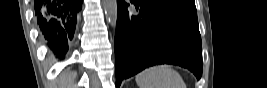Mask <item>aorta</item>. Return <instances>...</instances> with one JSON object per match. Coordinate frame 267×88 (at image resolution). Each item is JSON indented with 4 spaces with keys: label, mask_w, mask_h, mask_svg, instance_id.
<instances>
[{
    "label": "aorta",
    "mask_w": 267,
    "mask_h": 88,
    "mask_svg": "<svg viewBox=\"0 0 267 88\" xmlns=\"http://www.w3.org/2000/svg\"><path fill=\"white\" fill-rule=\"evenodd\" d=\"M103 9L108 22L111 25L117 23V2L116 0H103Z\"/></svg>",
    "instance_id": "obj_1"
}]
</instances>
